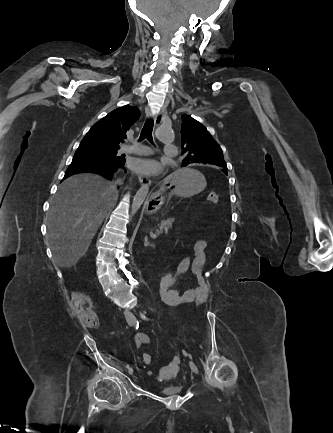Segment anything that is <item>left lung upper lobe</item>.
<instances>
[{"label":"left lung upper lobe","instance_id":"left-lung-upper-lobe-1","mask_svg":"<svg viewBox=\"0 0 333 433\" xmlns=\"http://www.w3.org/2000/svg\"><path fill=\"white\" fill-rule=\"evenodd\" d=\"M182 161L189 164H212L220 167L227 174V165L220 146L214 141L207 129L189 115H182Z\"/></svg>","mask_w":333,"mask_h":433}]
</instances>
